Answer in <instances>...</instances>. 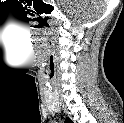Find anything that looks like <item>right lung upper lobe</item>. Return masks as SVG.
<instances>
[{"mask_svg": "<svg viewBox=\"0 0 124 123\" xmlns=\"http://www.w3.org/2000/svg\"><path fill=\"white\" fill-rule=\"evenodd\" d=\"M65 122H67V123H72V120L67 117L66 120H65Z\"/></svg>", "mask_w": 124, "mask_h": 123, "instance_id": "1", "label": "right lung upper lobe"}]
</instances>
